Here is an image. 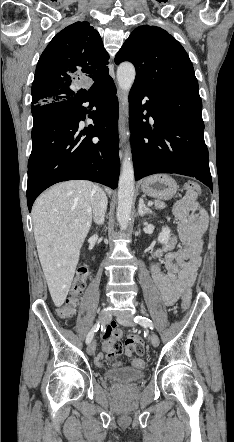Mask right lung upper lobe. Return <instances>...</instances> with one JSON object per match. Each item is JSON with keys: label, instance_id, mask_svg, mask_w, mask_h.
<instances>
[{"label": "right lung upper lobe", "instance_id": "cb5924a9", "mask_svg": "<svg viewBox=\"0 0 234 442\" xmlns=\"http://www.w3.org/2000/svg\"><path fill=\"white\" fill-rule=\"evenodd\" d=\"M109 55L99 33L86 21L60 31L48 44L37 63L32 84V106L75 99L88 90L83 80L94 81L108 75Z\"/></svg>", "mask_w": 234, "mask_h": 442}]
</instances>
